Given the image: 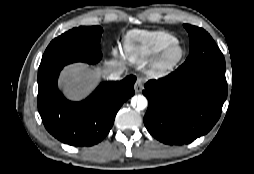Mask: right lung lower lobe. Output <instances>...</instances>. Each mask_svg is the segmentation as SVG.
<instances>
[{
  "mask_svg": "<svg viewBox=\"0 0 254 174\" xmlns=\"http://www.w3.org/2000/svg\"><path fill=\"white\" fill-rule=\"evenodd\" d=\"M94 64V63H89ZM64 66L38 79V111L47 131L72 146H92L113 126L116 113L134 95L136 77L103 82L84 101L71 102L58 90L57 78Z\"/></svg>",
  "mask_w": 254,
  "mask_h": 174,
  "instance_id": "98d812e1",
  "label": "right lung lower lobe"
}]
</instances>
